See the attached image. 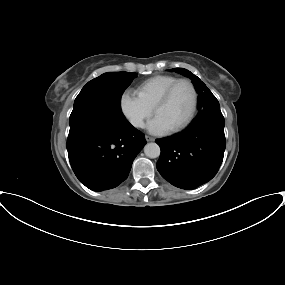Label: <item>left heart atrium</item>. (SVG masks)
<instances>
[{
	"label": "left heart atrium",
	"instance_id": "1",
	"mask_svg": "<svg viewBox=\"0 0 285 285\" xmlns=\"http://www.w3.org/2000/svg\"><path fill=\"white\" fill-rule=\"evenodd\" d=\"M147 130L155 135H163L170 131L168 125L158 116H155L147 124Z\"/></svg>",
	"mask_w": 285,
	"mask_h": 285
}]
</instances>
